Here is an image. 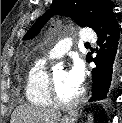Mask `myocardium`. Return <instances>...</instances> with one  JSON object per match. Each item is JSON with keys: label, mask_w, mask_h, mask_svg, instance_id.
<instances>
[{"label": "myocardium", "mask_w": 122, "mask_h": 123, "mask_svg": "<svg viewBox=\"0 0 122 123\" xmlns=\"http://www.w3.org/2000/svg\"><path fill=\"white\" fill-rule=\"evenodd\" d=\"M48 93L52 102L59 106H73L77 104L83 97L85 90L80 88L79 92L71 99H63L59 96L57 86L53 74H49Z\"/></svg>", "instance_id": "f54148a6"}]
</instances>
